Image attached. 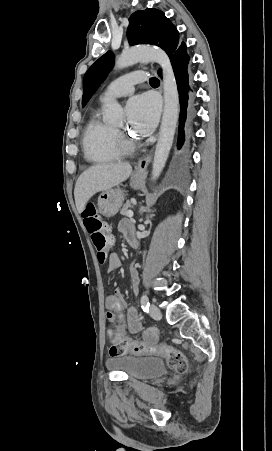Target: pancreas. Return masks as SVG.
Masks as SVG:
<instances>
[{"instance_id": "pancreas-1", "label": "pancreas", "mask_w": 272, "mask_h": 451, "mask_svg": "<svg viewBox=\"0 0 272 451\" xmlns=\"http://www.w3.org/2000/svg\"><path fill=\"white\" fill-rule=\"evenodd\" d=\"M129 208H132L131 202H126V204H124L123 208H121L120 214H122V216H126Z\"/></svg>"}]
</instances>
